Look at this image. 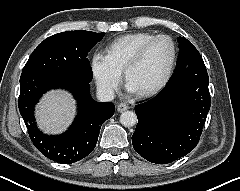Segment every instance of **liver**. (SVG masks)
<instances>
[{
    "mask_svg": "<svg viewBox=\"0 0 240 191\" xmlns=\"http://www.w3.org/2000/svg\"><path fill=\"white\" fill-rule=\"evenodd\" d=\"M75 102L65 91L47 93L37 105L39 128L45 133H61L70 125L75 115Z\"/></svg>",
    "mask_w": 240,
    "mask_h": 191,
    "instance_id": "obj_1",
    "label": "liver"
}]
</instances>
